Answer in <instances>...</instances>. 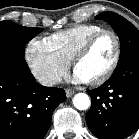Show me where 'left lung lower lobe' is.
<instances>
[{
	"label": "left lung lower lobe",
	"instance_id": "obj_1",
	"mask_svg": "<svg viewBox=\"0 0 139 139\" xmlns=\"http://www.w3.org/2000/svg\"><path fill=\"white\" fill-rule=\"evenodd\" d=\"M86 115L90 131L100 139H125L139 129V51L118 63L114 74L88 91Z\"/></svg>",
	"mask_w": 139,
	"mask_h": 139
}]
</instances>
